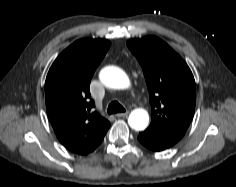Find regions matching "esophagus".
Instances as JSON below:
<instances>
[{"label": "esophagus", "mask_w": 236, "mask_h": 187, "mask_svg": "<svg viewBox=\"0 0 236 187\" xmlns=\"http://www.w3.org/2000/svg\"><path fill=\"white\" fill-rule=\"evenodd\" d=\"M128 114H129V112L126 111L124 113H117L115 116L120 118V117H126Z\"/></svg>", "instance_id": "1"}]
</instances>
